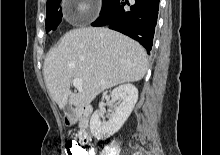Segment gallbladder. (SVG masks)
I'll use <instances>...</instances> for the list:
<instances>
[{
    "label": "gallbladder",
    "instance_id": "bac80fb5",
    "mask_svg": "<svg viewBox=\"0 0 220 155\" xmlns=\"http://www.w3.org/2000/svg\"><path fill=\"white\" fill-rule=\"evenodd\" d=\"M64 113H65L67 116H69L70 118H73V117H74L73 112H72V108H71L70 105L65 106V108H64Z\"/></svg>",
    "mask_w": 220,
    "mask_h": 155
}]
</instances>
